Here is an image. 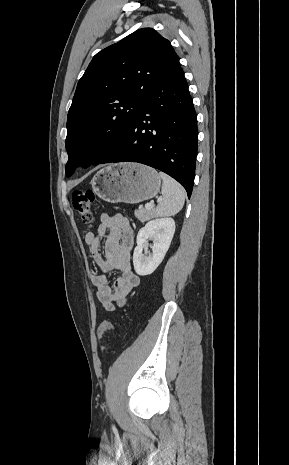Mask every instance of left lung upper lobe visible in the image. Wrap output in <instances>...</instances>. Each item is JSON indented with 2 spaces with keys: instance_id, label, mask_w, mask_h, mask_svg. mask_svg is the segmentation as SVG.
I'll use <instances>...</instances> for the list:
<instances>
[{
  "instance_id": "5c2ea615",
  "label": "left lung upper lobe",
  "mask_w": 289,
  "mask_h": 465,
  "mask_svg": "<svg viewBox=\"0 0 289 465\" xmlns=\"http://www.w3.org/2000/svg\"><path fill=\"white\" fill-rule=\"evenodd\" d=\"M180 67L170 42L142 28L97 53L77 84L67 117L66 176L97 165L120 142L145 95Z\"/></svg>"
}]
</instances>
